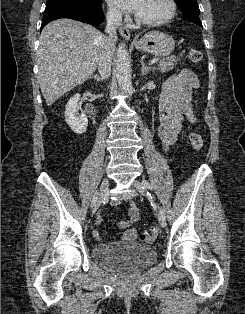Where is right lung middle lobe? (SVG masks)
<instances>
[{"instance_id": "dd1d6c3e", "label": "right lung middle lobe", "mask_w": 245, "mask_h": 314, "mask_svg": "<svg viewBox=\"0 0 245 314\" xmlns=\"http://www.w3.org/2000/svg\"><path fill=\"white\" fill-rule=\"evenodd\" d=\"M55 2H73V3H82L91 6H96L102 4V0H47V4Z\"/></svg>"}]
</instances>
